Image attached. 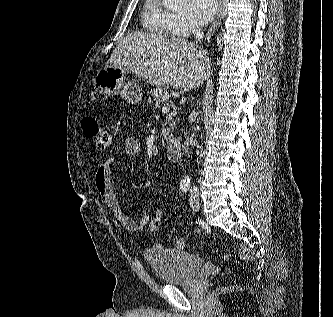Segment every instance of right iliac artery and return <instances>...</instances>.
I'll list each match as a JSON object with an SVG mask.
<instances>
[{
  "label": "right iliac artery",
  "instance_id": "1",
  "mask_svg": "<svg viewBox=\"0 0 333 317\" xmlns=\"http://www.w3.org/2000/svg\"><path fill=\"white\" fill-rule=\"evenodd\" d=\"M180 188H181L182 191L186 192V191L189 190V185L188 184H182Z\"/></svg>",
  "mask_w": 333,
  "mask_h": 317
}]
</instances>
